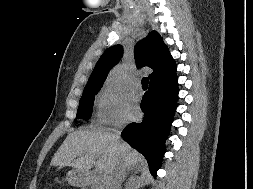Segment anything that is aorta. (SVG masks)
<instances>
[{"mask_svg":"<svg viewBox=\"0 0 253 189\" xmlns=\"http://www.w3.org/2000/svg\"><path fill=\"white\" fill-rule=\"evenodd\" d=\"M121 75H122V70L120 68L115 69L112 72V75L110 76V79L108 82L109 85L111 87H117L120 82Z\"/></svg>","mask_w":253,"mask_h":189,"instance_id":"762f6f07","label":"aorta"}]
</instances>
